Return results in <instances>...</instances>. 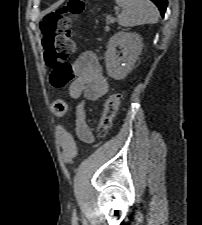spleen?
Here are the masks:
<instances>
[{
    "label": "spleen",
    "instance_id": "spleen-1",
    "mask_svg": "<svg viewBox=\"0 0 202 225\" xmlns=\"http://www.w3.org/2000/svg\"><path fill=\"white\" fill-rule=\"evenodd\" d=\"M122 7L118 15V23L124 27L142 24H155L159 19V11L150 0H115Z\"/></svg>",
    "mask_w": 202,
    "mask_h": 225
}]
</instances>
